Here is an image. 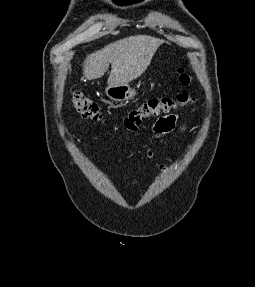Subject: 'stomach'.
<instances>
[{"label":"stomach","instance_id":"obj_1","mask_svg":"<svg viewBox=\"0 0 255 287\" xmlns=\"http://www.w3.org/2000/svg\"><path fill=\"white\" fill-rule=\"evenodd\" d=\"M105 94L114 102H128L134 100L137 92L130 88L129 84H119V86H107Z\"/></svg>","mask_w":255,"mask_h":287}]
</instances>
